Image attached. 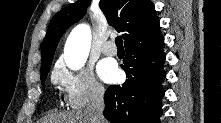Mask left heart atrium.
I'll use <instances>...</instances> for the list:
<instances>
[{"label":"left heart atrium","instance_id":"1","mask_svg":"<svg viewBox=\"0 0 221 123\" xmlns=\"http://www.w3.org/2000/svg\"><path fill=\"white\" fill-rule=\"evenodd\" d=\"M98 74L105 82H115L119 78V71L111 61H102L98 66Z\"/></svg>","mask_w":221,"mask_h":123}]
</instances>
